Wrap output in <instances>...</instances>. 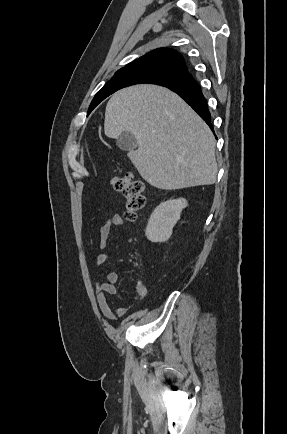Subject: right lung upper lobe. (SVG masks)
I'll return each mask as SVG.
<instances>
[{"instance_id": "cb5924a9", "label": "right lung upper lobe", "mask_w": 287, "mask_h": 434, "mask_svg": "<svg viewBox=\"0 0 287 434\" xmlns=\"http://www.w3.org/2000/svg\"><path fill=\"white\" fill-rule=\"evenodd\" d=\"M140 68H154L165 70L179 76V79L174 81H162L158 85L167 86L177 81L182 80L189 74L188 68L183 57L173 49L159 48L148 54L141 56L132 63L118 70V72H126Z\"/></svg>"}]
</instances>
